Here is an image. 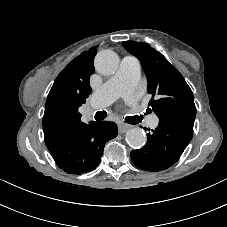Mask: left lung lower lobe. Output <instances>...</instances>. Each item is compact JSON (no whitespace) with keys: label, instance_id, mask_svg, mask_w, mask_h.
Instances as JSON below:
<instances>
[{"label":"left lung lower lobe","instance_id":"1","mask_svg":"<svg viewBox=\"0 0 227 227\" xmlns=\"http://www.w3.org/2000/svg\"><path fill=\"white\" fill-rule=\"evenodd\" d=\"M193 137L181 127L160 122L147 135V142L141 149L131 151V160L139 168L160 171L176 163Z\"/></svg>","mask_w":227,"mask_h":227}]
</instances>
